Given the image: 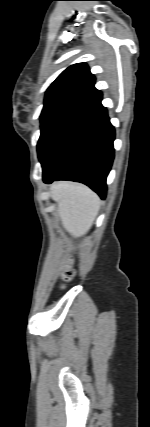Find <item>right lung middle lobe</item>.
Segmentation results:
<instances>
[{"label": "right lung middle lobe", "mask_w": 150, "mask_h": 427, "mask_svg": "<svg viewBox=\"0 0 150 427\" xmlns=\"http://www.w3.org/2000/svg\"><path fill=\"white\" fill-rule=\"evenodd\" d=\"M80 111L74 108H49L42 111L41 135L37 147L41 164L46 160L57 138Z\"/></svg>", "instance_id": "right-lung-middle-lobe-1"}]
</instances>
